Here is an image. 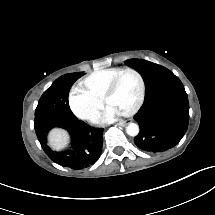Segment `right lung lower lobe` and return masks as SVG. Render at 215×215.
Segmentation results:
<instances>
[{"mask_svg": "<svg viewBox=\"0 0 215 215\" xmlns=\"http://www.w3.org/2000/svg\"><path fill=\"white\" fill-rule=\"evenodd\" d=\"M42 149L55 163L73 169H82L94 164L99 158L103 145V129H94L83 121L65 118H52L34 123ZM54 127L69 132L72 145L69 149L57 152L47 145V135Z\"/></svg>", "mask_w": 215, "mask_h": 215, "instance_id": "obj_1", "label": "right lung lower lobe"}]
</instances>
